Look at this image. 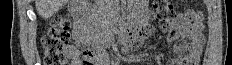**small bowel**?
<instances>
[{
	"mask_svg": "<svg viewBox=\"0 0 232 65\" xmlns=\"http://www.w3.org/2000/svg\"><path fill=\"white\" fill-rule=\"evenodd\" d=\"M141 17L143 22H148L152 19L153 14L141 8ZM203 25L201 23L193 25L190 23L186 15H179L169 28V41L173 42L178 39L188 38L191 40L190 52L185 58H181L177 54V60L170 65H197L200 61L201 51L205 42V37L202 33ZM153 34V29L143 27L141 33H136V38H149ZM73 43L69 44L66 49V55L71 59V65H80L79 48L90 45L91 36L86 31V25L77 21L74 24ZM141 43L136 39L129 46L137 47ZM109 59L104 49L97 51V65H108Z\"/></svg>",
	"mask_w": 232,
	"mask_h": 65,
	"instance_id": "obj_1",
	"label": "small bowel"
}]
</instances>
